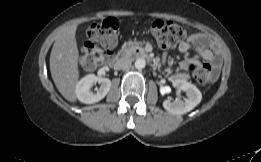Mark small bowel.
Listing matches in <instances>:
<instances>
[{
    "label": "small bowel",
    "instance_id": "c3829d8e",
    "mask_svg": "<svg viewBox=\"0 0 261 162\" xmlns=\"http://www.w3.org/2000/svg\"><path fill=\"white\" fill-rule=\"evenodd\" d=\"M205 40V35L201 33H195L192 34L186 41L181 42L178 49L181 53H186L190 50H195L201 58L211 63V74L214 77L221 66V59L213 50L204 46L203 43ZM180 67L183 70H190L195 67H202V65L197 60L188 59L182 61L180 63Z\"/></svg>",
    "mask_w": 261,
    "mask_h": 162
}]
</instances>
